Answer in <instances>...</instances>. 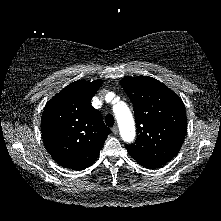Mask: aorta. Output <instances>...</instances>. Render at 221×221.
<instances>
[{
	"mask_svg": "<svg viewBox=\"0 0 221 221\" xmlns=\"http://www.w3.org/2000/svg\"><path fill=\"white\" fill-rule=\"evenodd\" d=\"M120 130V135L125 142H132L135 138V122L126 103L120 101L113 106Z\"/></svg>",
	"mask_w": 221,
	"mask_h": 221,
	"instance_id": "aorta-1",
	"label": "aorta"
}]
</instances>
